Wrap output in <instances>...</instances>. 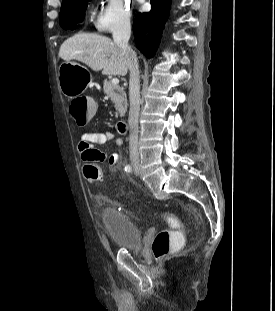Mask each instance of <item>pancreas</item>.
Wrapping results in <instances>:
<instances>
[{
    "label": "pancreas",
    "mask_w": 275,
    "mask_h": 311,
    "mask_svg": "<svg viewBox=\"0 0 275 311\" xmlns=\"http://www.w3.org/2000/svg\"><path fill=\"white\" fill-rule=\"evenodd\" d=\"M104 93L111 99L116 109V116L123 117L127 111V96L122 87L113 84L111 81L104 80Z\"/></svg>",
    "instance_id": "cf45deb5"
}]
</instances>
